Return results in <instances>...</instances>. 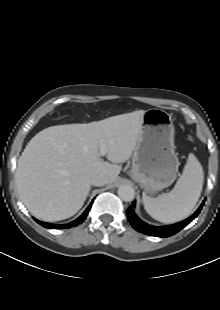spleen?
Listing matches in <instances>:
<instances>
[{"mask_svg":"<svg viewBox=\"0 0 220 310\" xmlns=\"http://www.w3.org/2000/svg\"><path fill=\"white\" fill-rule=\"evenodd\" d=\"M203 169L197 158L190 154L184 171L174 188L156 198L143 194L146 212L162 223H174L185 219L192 212L202 191Z\"/></svg>","mask_w":220,"mask_h":310,"instance_id":"1","label":"spleen"}]
</instances>
